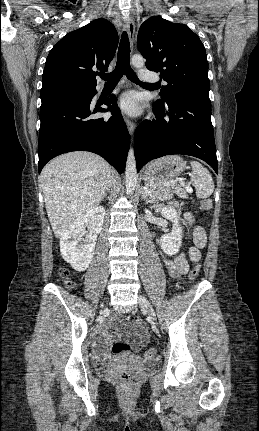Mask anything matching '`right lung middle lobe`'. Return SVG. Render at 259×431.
<instances>
[{"mask_svg":"<svg viewBox=\"0 0 259 431\" xmlns=\"http://www.w3.org/2000/svg\"><path fill=\"white\" fill-rule=\"evenodd\" d=\"M87 89H78V88H74L68 85H54L51 87H48L46 89L41 90L40 92V96L41 99H45L48 97H51L53 95L56 94H60V93H67V92H83L86 91Z\"/></svg>","mask_w":259,"mask_h":431,"instance_id":"obj_1","label":"right lung middle lobe"}]
</instances>
